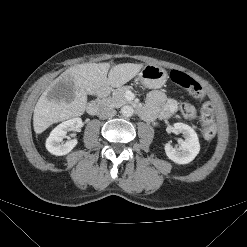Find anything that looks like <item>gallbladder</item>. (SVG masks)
Returning a JSON list of instances; mask_svg holds the SVG:
<instances>
[{"instance_id": "obj_1", "label": "gallbladder", "mask_w": 247, "mask_h": 247, "mask_svg": "<svg viewBox=\"0 0 247 247\" xmlns=\"http://www.w3.org/2000/svg\"><path fill=\"white\" fill-rule=\"evenodd\" d=\"M60 86L63 87V88L65 87L63 84H60Z\"/></svg>"}]
</instances>
